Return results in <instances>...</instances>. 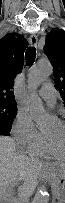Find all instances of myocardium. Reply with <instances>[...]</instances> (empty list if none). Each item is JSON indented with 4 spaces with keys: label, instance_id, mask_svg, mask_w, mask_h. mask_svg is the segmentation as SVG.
I'll return each mask as SVG.
<instances>
[{
    "label": "myocardium",
    "instance_id": "obj_1",
    "mask_svg": "<svg viewBox=\"0 0 65 203\" xmlns=\"http://www.w3.org/2000/svg\"><path fill=\"white\" fill-rule=\"evenodd\" d=\"M61 124L63 125V127L65 129V121L61 122ZM46 142H47L48 148H49V150L53 156H55L57 158H64L65 157V152L60 153L59 149L57 148V145L54 141H52L51 139L46 137Z\"/></svg>",
    "mask_w": 65,
    "mask_h": 203
}]
</instances>
